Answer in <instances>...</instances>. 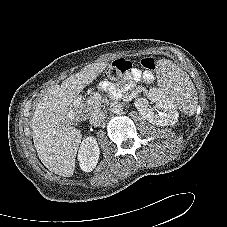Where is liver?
I'll use <instances>...</instances> for the list:
<instances>
[{"label":"liver","mask_w":227,"mask_h":227,"mask_svg":"<svg viewBox=\"0 0 227 227\" xmlns=\"http://www.w3.org/2000/svg\"><path fill=\"white\" fill-rule=\"evenodd\" d=\"M93 63L71 75L60 85L50 87L36 104L31 120L34 146L39 159L51 172L63 177L74 173L75 158L82 135L77 128L64 125L78 94L107 67Z\"/></svg>","instance_id":"obj_1"}]
</instances>
